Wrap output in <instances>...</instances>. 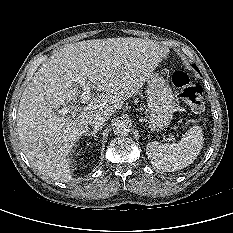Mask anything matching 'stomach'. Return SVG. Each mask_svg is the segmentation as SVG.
<instances>
[{"label": "stomach", "mask_w": 233, "mask_h": 233, "mask_svg": "<svg viewBox=\"0 0 233 233\" xmlns=\"http://www.w3.org/2000/svg\"><path fill=\"white\" fill-rule=\"evenodd\" d=\"M147 104L150 128L153 131L169 126L176 110L172 89L163 77L153 73L147 80Z\"/></svg>", "instance_id": "stomach-1"}]
</instances>
